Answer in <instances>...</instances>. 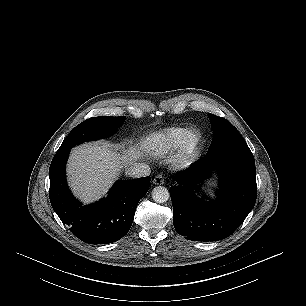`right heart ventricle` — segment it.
I'll use <instances>...</instances> for the list:
<instances>
[{
	"label": "right heart ventricle",
	"mask_w": 306,
	"mask_h": 306,
	"mask_svg": "<svg viewBox=\"0 0 306 306\" xmlns=\"http://www.w3.org/2000/svg\"><path fill=\"white\" fill-rule=\"evenodd\" d=\"M185 130L184 127L180 126L163 129L149 138L148 146L158 155L166 154L178 147Z\"/></svg>",
	"instance_id": "1"
}]
</instances>
